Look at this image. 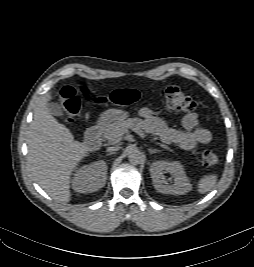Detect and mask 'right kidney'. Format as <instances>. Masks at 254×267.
Wrapping results in <instances>:
<instances>
[{
    "mask_svg": "<svg viewBox=\"0 0 254 267\" xmlns=\"http://www.w3.org/2000/svg\"><path fill=\"white\" fill-rule=\"evenodd\" d=\"M107 164L103 160L95 161L79 168L72 180L73 189L78 193H92L104 187Z\"/></svg>",
    "mask_w": 254,
    "mask_h": 267,
    "instance_id": "right-kidney-1",
    "label": "right kidney"
}]
</instances>
